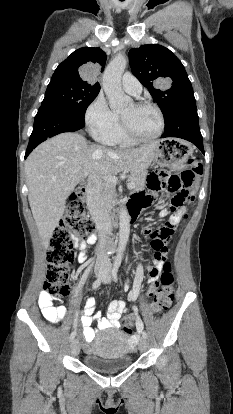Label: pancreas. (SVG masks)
Listing matches in <instances>:
<instances>
[{"label": "pancreas", "instance_id": "cf45deb5", "mask_svg": "<svg viewBox=\"0 0 233 414\" xmlns=\"http://www.w3.org/2000/svg\"><path fill=\"white\" fill-rule=\"evenodd\" d=\"M130 183L134 184L133 190H140L144 187L145 173L132 172L129 176ZM105 200L108 206H113L116 203L114 197V185L107 184L105 187Z\"/></svg>", "mask_w": 233, "mask_h": 414}]
</instances>
